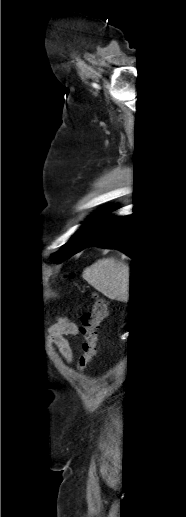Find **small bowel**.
I'll use <instances>...</instances> for the list:
<instances>
[{"label": "small bowel", "mask_w": 186, "mask_h": 517, "mask_svg": "<svg viewBox=\"0 0 186 517\" xmlns=\"http://www.w3.org/2000/svg\"><path fill=\"white\" fill-rule=\"evenodd\" d=\"M78 334V326L67 319L58 320L49 331L50 341L68 363L73 361V351L67 337L77 336Z\"/></svg>", "instance_id": "1"}]
</instances>
